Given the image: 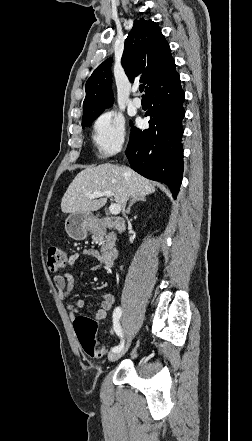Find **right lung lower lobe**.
<instances>
[{
    "mask_svg": "<svg viewBox=\"0 0 252 441\" xmlns=\"http://www.w3.org/2000/svg\"><path fill=\"white\" fill-rule=\"evenodd\" d=\"M149 129H131L126 155L133 170L167 184L176 198L183 175L182 119L184 92L173 61L146 92Z\"/></svg>",
    "mask_w": 252,
    "mask_h": 441,
    "instance_id": "1",
    "label": "right lung lower lobe"
}]
</instances>
